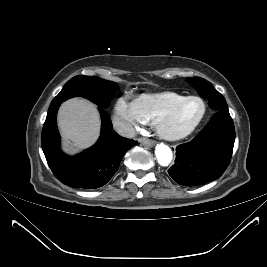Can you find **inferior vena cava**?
Masks as SVG:
<instances>
[{
    "instance_id": "obj_1",
    "label": "inferior vena cava",
    "mask_w": 267,
    "mask_h": 267,
    "mask_svg": "<svg viewBox=\"0 0 267 267\" xmlns=\"http://www.w3.org/2000/svg\"><path fill=\"white\" fill-rule=\"evenodd\" d=\"M113 127L115 131L123 137L133 138L136 135L134 127L127 121L115 120L113 122Z\"/></svg>"
}]
</instances>
